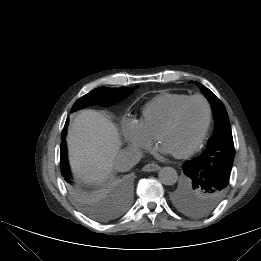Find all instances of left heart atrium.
Segmentation results:
<instances>
[{"label":"left heart atrium","instance_id":"1","mask_svg":"<svg viewBox=\"0 0 261 261\" xmlns=\"http://www.w3.org/2000/svg\"><path fill=\"white\" fill-rule=\"evenodd\" d=\"M156 154L158 156H166V155H169V154H173V152L167 146L160 143L157 147Z\"/></svg>","mask_w":261,"mask_h":261}]
</instances>
